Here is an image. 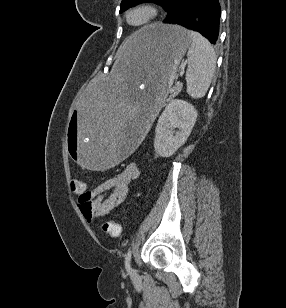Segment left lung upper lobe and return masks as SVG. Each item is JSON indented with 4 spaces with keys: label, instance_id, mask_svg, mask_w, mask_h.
Instances as JSON below:
<instances>
[{
    "label": "left lung upper lobe",
    "instance_id": "obj_1",
    "mask_svg": "<svg viewBox=\"0 0 286 308\" xmlns=\"http://www.w3.org/2000/svg\"><path fill=\"white\" fill-rule=\"evenodd\" d=\"M142 2H153L162 6L166 11L168 10L172 0H122L120 5V13L127 10L128 8L142 3Z\"/></svg>",
    "mask_w": 286,
    "mask_h": 308
}]
</instances>
